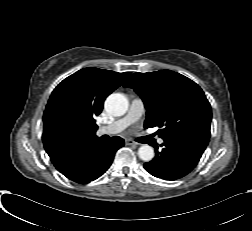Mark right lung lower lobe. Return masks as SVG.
I'll use <instances>...</instances> for the list:
<instances>
[{"label": "right lung lower lobe", "instance_id": "obj_1", "mask_svg": "<svg viewBox=\"0 0 252 231\" xmlns=\"http://www.w3.org/2000/svg\"><path fill=\"white\" fill-rule=\"evenodd\" d=\"M123 145L124 140L117 136L109 142L98 137L84 139L74 147L68 165L60 172L74 182L89 183L106 172L116 151Z\"/></svg>", "mask_w": 252, "mask_h": 231}]
</instances>
